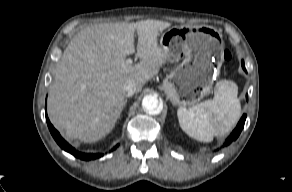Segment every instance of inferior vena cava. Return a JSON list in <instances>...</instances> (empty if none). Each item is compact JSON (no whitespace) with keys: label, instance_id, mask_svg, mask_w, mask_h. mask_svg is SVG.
<instances>
[{"label":"inferior vena cava","instance_id":"obj_1","mask_svg":"<svg viewBox=\"0 0 292 192\" xmlns=\"http://www.w3.org/2000/svg\"><path fill=\"white\" fill-rule=\"evenodd\" d=\"M123 91L126 97H131L137 92V87L132 82H126L123 86Z\"/></svg>","mask_w":292,"mask_h":192}]
</instances>
